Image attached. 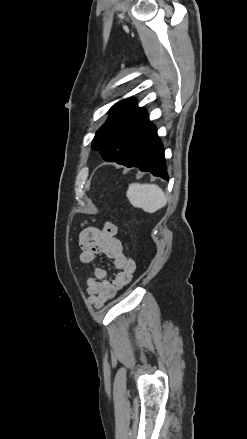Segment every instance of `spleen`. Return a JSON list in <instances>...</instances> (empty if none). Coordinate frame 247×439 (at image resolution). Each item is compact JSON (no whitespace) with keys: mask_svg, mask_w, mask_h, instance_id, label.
I'll use <instances>...</instances> for the list:
<instances>
[{"mask_svg":"<svg viewBox=\"0 0 247 439\" xmlns=\"http://www.w3.org/2000/svg\"><path fill=\"white\" fill-rule=\"evenodd\" d=\"M126 195L134 207L150 214L163 208L167 203L163 190L156 184L132 183Z\"/></svg>","mask_w":247,"mask_h":439,"instance_id":"spleen-1","label":"spleen"}]
</instances>
